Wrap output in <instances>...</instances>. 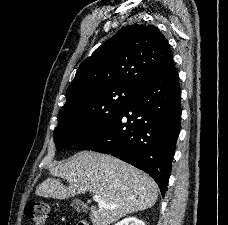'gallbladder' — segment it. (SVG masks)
<instances>
[{"label": "gallbladder", "instance_id": "1", "mask_svg": "<svg viewBox=\"0 0 228 225\" xmlns=\"http://www.w3.org/2000/svg\"><path fill=\"white\" fill-rule=\"evenodd\" d=\"M71 207L77 211V213H83V211H86L87 207L84 205L83 201H80V199H73L71 201Z\"/></svg>", "mask_w": 228, "mask_h": 225}]
</instances>
